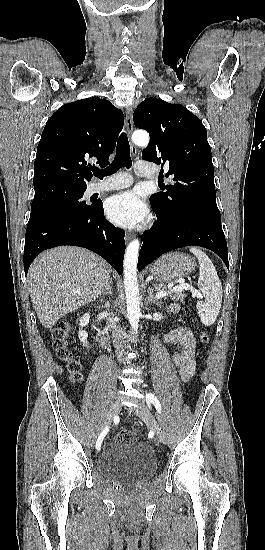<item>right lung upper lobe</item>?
<instances>
[{"instance_id":"right-lung-upper-lobe-1","label":"right lung upper lobe","mask_w":265,"mask_h":550,"mask_svg":"<svg viewBox=\"0 0 265 550\" xmlns=\"http://www.w3.org/2000/svg\"><path fill=\"white\" fill-rule=\"evenodd\" d=\"M124 115L109 101L87 98L60 107L47 122L34 163V188L63 185L86 189L91 159L109 164Z\"/></svg>"}]
</instances>
